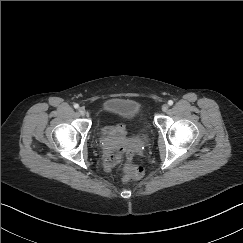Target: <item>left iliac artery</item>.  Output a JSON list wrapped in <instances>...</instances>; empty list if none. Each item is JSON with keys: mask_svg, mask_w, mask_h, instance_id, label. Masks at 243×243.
I'll return each mask as SVG.
<instances>
[{"mask_svg": "<svg viewBox=\"0 0 243 243\" xmlns=\"http://www.w3.org/2000/svg\"><path fill=\"white\" fill-rule=\"evenodd\" d=\"M168 104L171 106V105H173V101L172 100H169L168 101Z\"/></svg>", "mask_w": 243, "mask_h": 243, "instance_id": "obj_1", "label": "left iliac artery"}]
</instances>
